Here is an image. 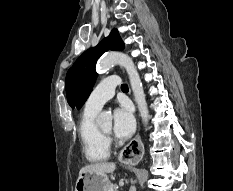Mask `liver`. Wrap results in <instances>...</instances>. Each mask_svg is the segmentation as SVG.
<instances>
[{"label": "liver", "instance_id": "liver-1", "mask_svg": "<svg viewBox=\"0 0 233 191\" xmlns=\"http://www.w3.org/2000/svg\"><path fill=\"white\" fill-rule=\"evenodd\" d=\"M116 168L113 162H100L95 164H90L81 168L79 174L82 173H96L100 175H106L108 173L114 172Z\"/></svg>", "mask_w": 233, "mask_h": 191}]
</instances>
